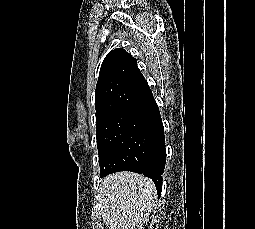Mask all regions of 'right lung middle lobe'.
<instances>
[{"label":"right lung middle lobe","mask_w":255,"mask_h":229,"mask_svg":"<svg viewBox=\"0 0 255 229\" xmlns=\"http://www.w3.org/2000/svg\"><path fill=\"white\" fill-rule=\"evenodd\" d=\"M100 177L143 164L156 138L139 119L115 115L96 129Z\"/></svg>","instance_id":"right-lung-middle-lobe-1"}]
</instances>
